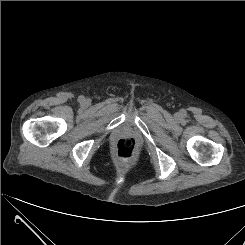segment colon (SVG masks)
<instances>
[{
  "label": "colon",
  "instance_id": "1",
  "mask_svg": "<svg viewBox=\"0 0 245 245\" xmlns=\"http://www.w3.org/2000/svg\"><path fill=\"white\" fill-rule=\"evenodd\" d=\"M115 155L123 160H129L137 154V143L133 138H123L115 142Z\"/></svg>",
  "mask_w": 245,
  "mask_h": 245
}]
</instances>
